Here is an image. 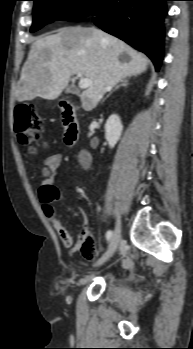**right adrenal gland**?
<instances>
[{
  "mask_svg": "<svg viewBox=\"0 0 193 349\" xmlns=\"http://www.w3.org/2000/svg\"><path fill=\"white\" fill-rule=\"evenodd\" d=\"M128 84H129V81H128L127 79L121 80V81L119 82V84L116 85V86L114 87V89H113L112 91L117 90V89H118L119 87H121V86L127 87ZM112 91L107 95V97L112 93ZM103 101H104V100H103Z\"/></svg>",
  "mask_w": 193,
  "mask_h": 349,
  "instance_id": "2a0ac1e0",
  "label": "right adrenal gland"
}]
</instances>
